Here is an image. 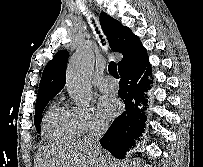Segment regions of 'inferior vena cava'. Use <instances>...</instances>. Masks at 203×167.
<instances>
[{
  "instance_id": "1",
  "label": "inferior vena cava",
  "mask_w": 203,
  "mask_h": 167,
  "mask_svg": "<svg viewBox=\"0 0 203 167\" xmlns=\"http://www.w3.org/2000/svg\"><path fill=\"white\" fill-rule=\"evenodd\" d=\"M107 128L108 124L101 121H96L92 129L88 133L87 137L85 138V142L98 151L99 150L98 141L106 132Z\"/></svg>"
}]
</instances>
